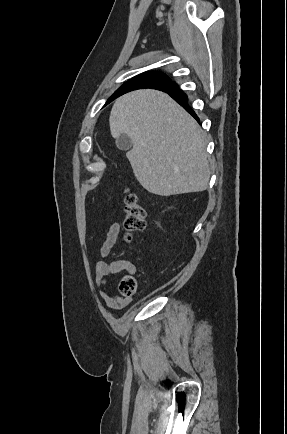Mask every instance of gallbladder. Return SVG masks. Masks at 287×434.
<instances>
[{"label": "gallbladder", "instance_id": "obj_1", "mask_svg": "<svg viewBox=\"0 0 287 434\" xmlns=\"http://www.w3.org/2000/svg\"><path fill=\"white\" fill-rule=\"evenodd\" d=\"M116 146L122 151H127L132 147V140L127 134H121L116 138Z\"/></svg>", "mask_w": 287, "mask_h": 434}]
</instances>
